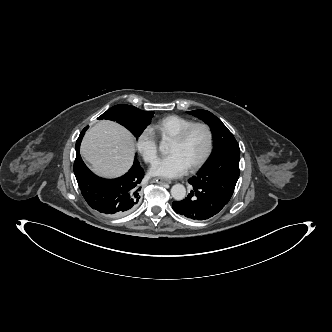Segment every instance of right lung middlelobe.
<instances>
[{
    "label": "right lung middle lobe",
    "mask_w": 332,
    "mask_h": 332,
    "mask_svg": "<svg viewBox=\"0 0 332 332\" xmlns=\"http://www.w3.org/2000/svg\"><path fill=\"white\" fill-rule=\"evenodd\" d=\"M154 112L142 111L134 106L119 104L99 116L97 119L116 121L126 127L135 137H139L150 124Z\"/></svg>",
    "instance_id": "1"
}]
</instances>
